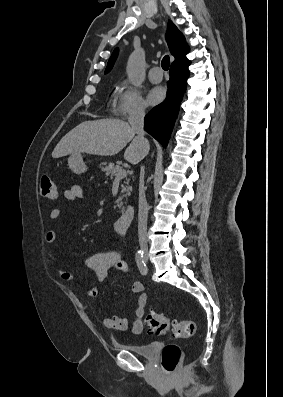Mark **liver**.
Instances as JSON below:
<instances>
[{
	"label": "liver",
	"instance_id": "obj_1",
	"mask_svg": "<svg viewBox=\"0 0 283 397\" xmlns=\"http://www.w3.org/2000/svg\"><path fill=\"white\" fill-rule=\"evenodd\" d=\"M131 126L118 119H100L85 121L68 132L56 145L53 158L69 154H87L112 156L119 153L129 142L124 159L135 165L149 152V143H145Z\"/></svg>",
	"mask_w": 283,
	"mask_h": 397
}]
</instances>
